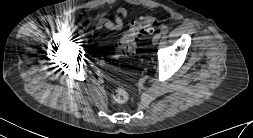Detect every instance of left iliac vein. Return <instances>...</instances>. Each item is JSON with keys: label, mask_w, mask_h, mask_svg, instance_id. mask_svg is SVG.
I'll use <instances>...</instances> for the list:
<instances>
[{"label": "left iliac vein", "mask_w": 253, "mask_h": 138, "mask_svg": "<svg viewBox=\"0 0 253 138\" xmlns=\"http://www.w3.org/2000/svg\"><path fill=\"white\" fill-rule=\"evenodd\" d=\"M160 38H161V34L160 33L155 34L154 37H153V39H152V44L153 45H157V43L159 42Z\"/></svg>", "instance_id": "1"}]
</instances>
